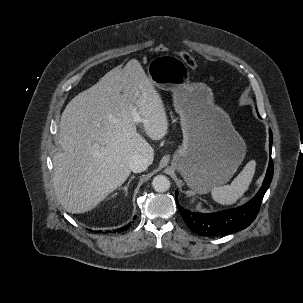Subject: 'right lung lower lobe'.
Listing matches in <instances>:
<instances>
[{
    "mask_svg": "<svg viewBox=\"0 0 303 303\" xmlns=\"http://www.w3.org/2000/svg\"><path fill=\"white\" fill-rule=\"evenodd\" d=\"M130 226H131V224L129 223V224H127V225L124 226V227H121V228H119V229L114 230L113 232L125 231V230H127ZM99 232H101V231H99Z\"/></svg>",
    "mask_w": 303,
    "mask_h": 303,
    "instance_id": "right-lung-lower-lobe-1",
    "label": "right lung lower lobe"
}]
</instances>
